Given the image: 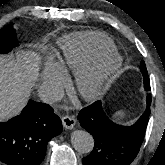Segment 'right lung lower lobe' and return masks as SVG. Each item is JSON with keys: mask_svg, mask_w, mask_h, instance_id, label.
Returning <instances> with one entry per match:
<instances>
[{"mask_svg": "<svg viewBox=\"0 0 165 165\" xmlns=\"http://www.w3.org/2000/svg\"><path fill=\"white\" fill-rule=\"evenodd\" d=\"M62 132L53 108L30 100L21 114L0 122V162L7 165H39L48 141Z\"/></svg>", "mask_w": 165, "mask_h": 165, "instance_id": "1", "label": "right lung lower lobe"}]
</instances>
